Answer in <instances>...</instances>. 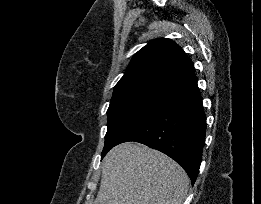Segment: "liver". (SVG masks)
<instances>
[{
    "label": "liver",
    "instance_id": "6515ba94",
    "mask_svg": "<svg viewBox=\"0 0 261 204\" xmlns=\"http://www.w3.org/2000/svg\"><path fill=\"white\" fill-rule=\"evenodd\" d=\"M188 187V175L174 160L128 142L105 156L94 204H182Z\"/></svg>",
    "mask_w": 261,
    "mask_h": 204
}]
</instances>
